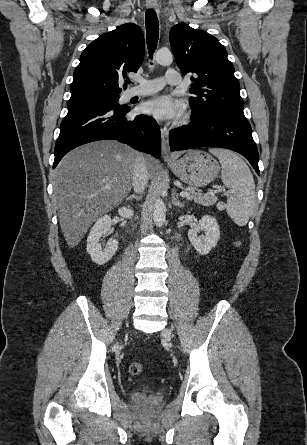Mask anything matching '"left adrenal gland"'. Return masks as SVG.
I'll list each match as a JSON object with an SVG mask.
<instances>
[{
  "instance_id": "obj_1",
  "label": "left adrenal gland",
  "mask_w": 307,
  "mask_h": 445,
  "mask_svg": "<svg viewBox=\"0 0 307 445\" xmlns=\"http://www.w3.org/2000/svg\"><path fill=\"white\" fill-rule=\"evenodd\" d=\"M172 204H174V206H184V202L179 200L178 192H176L175 188L172 190Z\"/></svg>"
}]
</instances>
